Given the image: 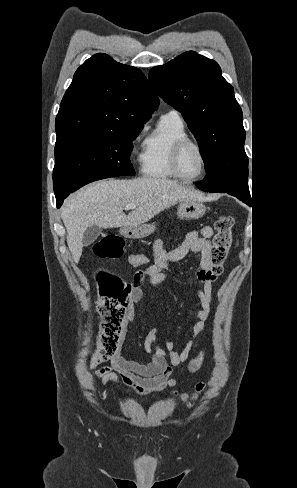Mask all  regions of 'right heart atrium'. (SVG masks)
<instances>
[{"label": "right heart atrium", "mask_w": 297, "mask_h": 488, "mask_svg": "<svg viewBox=\"0 0 297 488\" xmlns=\"http://www.w3.org/2000/svg\"><path fill=\"white\" fill-rule=\"evenodd\" d=\"M135 143H136V140L133 142V149H134V147H135Z\"/></svg>", "instance_id": "right-heart-atrium-1"}]
</instances>
